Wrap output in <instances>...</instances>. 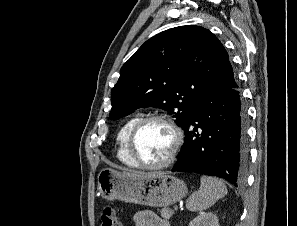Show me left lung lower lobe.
I'll return each instance as SVG.
<instances>
[{
	"label": "left lung lower lobe",
	"instance_id": "left-lung-lower-lobe-1",
	"mask_svg": "<svg viewBox=\"0 0 297 226\" xmlns=\"http://www.w3.org/2000/svg\"><path fill=\"white\" fill-rule=\"evenodd\" d=\"M246 119L238 86L206 92L182 127L185 142L171 171L217 176L236 187L243 184L248 162Z\"/></svg>",
	"mask_w": 297,
	"mask_h": 226
}]
</instances>
